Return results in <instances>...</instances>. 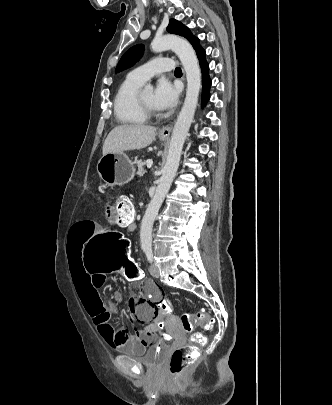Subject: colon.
I'll list each match as a JSON object with an SVG mask.
<instances>
[{"label": "colon", "instance_id": "5ec220e1", "mask_svg": "<svg viewBox=\"0 0 332 405\" xmlns=\"http://www.w3.org/2000/svg\"><path fill=\"white\" fill-rule=\"evenodd\" d=\"M114 208L119 210V222H128L135 217V209L130 198L121 194L117 196ZM100 234H95L94 240L88 241V248H85V257L88 272L92 275H122L126 282H140L144 277L142 267L134 262V257L127 255L128 241L124 240V234H109L108 227H101ZM151 288H161L153 284ZM157 307L153 323L155 324L159 342H170V333H164L168 328V319H172V302L165 296L157 300ZM200 321L204 328L211 329L208 314L199 310L195 315L183 313L180 316L181 327L184 331H191L194 322ZM194 343H202L204 336L201 333H194L191 336ZM198 351L195 345H187L176 348L169 361V371L173 376H180L197 359Z\"/></svg>", "mask_w": 332, "mask_h": 405}]
</instances>
